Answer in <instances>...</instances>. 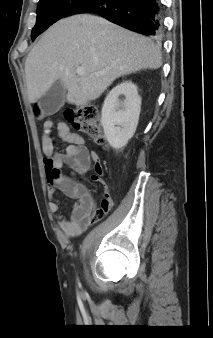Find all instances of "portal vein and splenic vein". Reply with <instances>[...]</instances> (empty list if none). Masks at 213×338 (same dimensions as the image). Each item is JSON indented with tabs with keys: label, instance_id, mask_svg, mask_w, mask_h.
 I'll return each instance as SVG.
<instances>
[{
	"label": "portal vein and splenic vein",
	"instance_id": "obj_1",
	"mask_svg": "<svg viewBox=\"0 0 213 338\" xmlns=\"http://www.w3.org/2000/svg\"><path fill=\"white\" fill-rule=\"evenodd\" d=\"M76 73H77L78 76H82V75H84L85 71L82 67H78L76 69Z\"/></svg>",
	"mask_w": 213,
	"mask_h": 338
}]
</instances>
